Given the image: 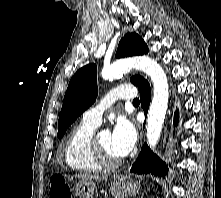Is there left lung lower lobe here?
<instances>
[{
    "instance_id": "obj_1",
    "label": "left lung lower lobe",
    "mask_w": 221,
    "mask_h": 198,
    "mask_svg": "<svg viewBox=\"0 0 221 198\" xmlns=\"http://www.w3.org/2000/svg\"><path fill=\"white\" fill-rule=\"evenodd\" d=\"M141 93V106L144 109V113L147 114L148 107L151 100V90L150 85L145 81L141 86L138 87ZM177 123V116L175 118L174 124ZM166 164L163 163L159 157L149 149L147 144H144L137 160L130 168L131 173L145 174L151 173L154 175H165L167 173Z\"/></svg>"
}]
</instances>
